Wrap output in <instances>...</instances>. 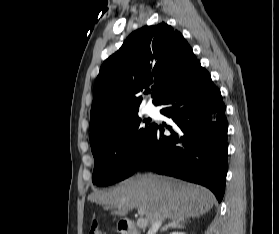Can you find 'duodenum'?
Returning a JSON list of instances; mask_svg holds the SVG:
<instances>
[{"mask_svg": "<svg viewBox=\"0 0 279 234\" xmlns=\"http://www.w3.org/2000/svg\"><path fill=\"white\" fill-rule=\"evenodd\" d=\"M119 229L123 234H140L131 220L123 219L119 223Z\"/></svg>", "mask_w": 279, "mask_h": 234, "instance_id": "obj_1", "label": "duodenum"}]
</instances>
